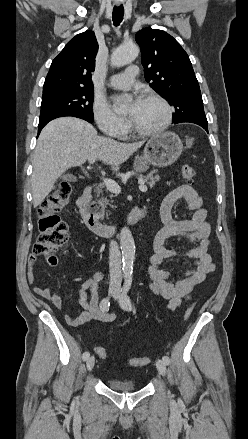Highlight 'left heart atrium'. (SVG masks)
<instances>
[{
	"instance_id": "39dd6f15",
	"label": "left heart atrium",
	"mask_w": 248,
	"mask_h": 439,
	"mask_svg": "<svg viewBox=\"0 0 248 439\" xmlns=\"http://www.w3.org/2000/svg\"><path fill=\"white\" fill-rule=\"evenodd\" d=\"M142 100L143 99H141L140 97H136V99H135V101L133 103V106L137 107L141 103Z\"/></svg>"
}]
</instances>
